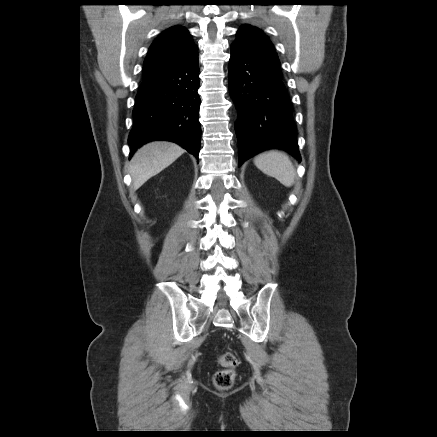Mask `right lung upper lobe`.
<instances>
[{"label": "right lung upper lobe", "instance_id": "1", "mask_svg": "<svg viewBox=\"0 0 437 437\" xmlns=\"http://www.w3.org/2000/svg\"><path fill=\"white\" fill-rule=\"evenodd\" d=\"M197 49L186 28L170 27L162 32L150 46L144 61L143 79L183 64L197 55Z\"/></svg>", "mask_w": 437, "mask_h": 437}]
</instances>
